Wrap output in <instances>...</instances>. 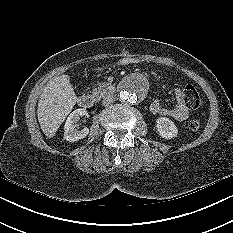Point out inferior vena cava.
Wrapping results in <instances>:
<instances>
[{
    "label": "inferior vena cava",
    "instance_id": "1",
    "mask_svg": "<svg viewBox=\"0 0 233 233\" xmlns=\"http://www.w3.org/2000/svg\"><path fill=\"white\" fill-rule=\"evenodd\" d=\"M116 100L115 95H108L102 100V105L103 106H108L109 104L113 103Z\"/></svg>",
    "mask_w": 233,
    "mask_h": 233
}]
</instances>
